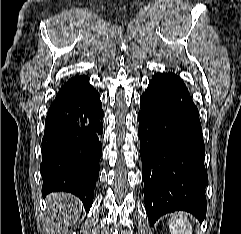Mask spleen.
<instances>
[{"instance_id": "spleen-1", "label": "spleen", "mask_w": 241, "mask_h": 234, "mask_svg": "<svg viewBox=\"0 0 241 234\" xmlns=\"http://www.w3.org/2000/svg\"><path fill=\"white\" fill-rule=\"evenodd\" d=\"M169 229L171 234H192V225L182 213L171 216Z\"/></svg>"}]
</instances>
